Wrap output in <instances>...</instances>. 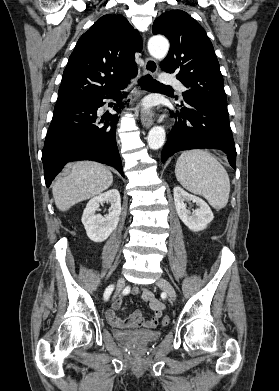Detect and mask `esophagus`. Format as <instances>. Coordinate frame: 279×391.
<instances>
[{
    "instance_id": "34e87169",
    "label": "esophagus",
    "mask_w": 279,
    "mask_h": 391,
    "mask_svg": "<svg viewBox=\"0 0 279 391\" xmlns=\"http://www.w3.org/2000/svg\"><path fill=\"white\" fill-rule=\"evenodd\" d=\"M144 70L146 74L155 75L158 71L157 62L152 58H146L144 64ZM141 123L144 127L149 128L153 125L154 119L152 118V116L145 114L141 117Z\"/></svg>"
}]
</instances>
